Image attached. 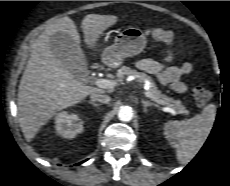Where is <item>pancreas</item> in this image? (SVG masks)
I'll return each instance as SVG.
<instances>
[{
	"label": "pancreas",
	"mask_w": 230,
	"mask_h": 186,
	"mask_svg": "<svg viewBox=\"0 0 230 186\" xmlns=\"http://www.w3.org/2000/svg\"><path fill=\"white\" fill-rule=\"evenodd\" d=\"M133 75L136 77V81L139 83V85L144 84L146 81L150 83L149 86V92L156 97L157 99L161 100L164 105L166 106H171L178 114H189V111L185 106L181 104V101L179 100H174L164 94H162L152 78L144 73L138 72L137 70H132L129 67L122 66L120 69L117 71V77L119 80H122L125 76H130Z\"/></svg>",
	"instance_id": "obj_1"
}]
</instances>
